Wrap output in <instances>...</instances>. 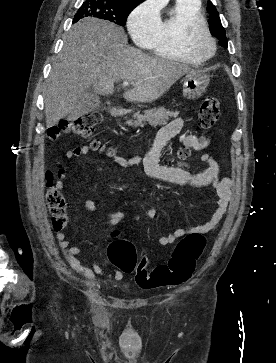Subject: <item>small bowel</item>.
<instances>
[{
  "label": "small bowel",
  "instance_id": "1",
  "mask_svg": "<svg viewBox=\"0 0 276 363\" xmlns=\"http://www.w3.org/2000/svg\"><path fill=\"white\" fill-rule=\"evenodd\" d=\"M184 126V120L180 117L173 119L168 124L163 126L157 133L150 149L144 158H134L125 160L121 157L114 156L113 160L123 167H129L134 163L142 162L146 174L157 181L166 182L178 186H187L201 188L212 186L216 197V208L211 218L203 225L197 227H182L176 229L173 233L161 236L158 238L160 245H171L177 239L191 233L207 234L215 231L221 224L224 216L227 213L228 206L231 200L233 182L230 178H220L221 165L219 161L211 155L204 154L201 157V162L204 169L200 171H190L188 165L179 163L177 165H163L159 163L161 149L172 138L178 136L180 142L189 149L196 151L206 149L212 142L211 136L199 137L193 134H180ZM90 149L87 145L77 146L66 151L67 159H74L88 155ZM65 185V172L60 170L59 178L56 183V188L61 190ZM86 208L91 211H97V206L92 201L86 202ZM156 215L155 208H150L144 214L146 218H153ZM124 218L121 212L112 213L109 215L108 224L115 225L120 223ZM60 247L64 252V256L71 268L84 276L90 283H95L98 280H113L121 281L124 274L120 270L109 271L100 267L97 263L91 266L84 265L78 258V255L83 251L81 246H70L69 240L64 232H59L56 235Z\"/></svg>",
  "mask_w": 276,
  "mask_h": 363
}]
</instances>
